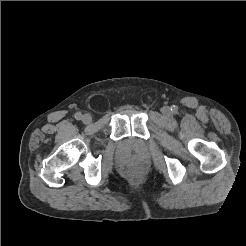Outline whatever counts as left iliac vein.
<instances>
[{"label": "left iliac vein", "mask_w": 246, "mask_h": 246, "mask_svg": "<svg viewBox=\"0 0 246 246\" xmlns=\"http://www.w3.org/2000/svg\"><path fill=\"white\" fill-rule=\"evenodd\" d=\"M162 113L166 116H169V115H171V109L169 107L165 106L162 108Z\"/></svg>", "instance_id": "1"}]
</instances>
